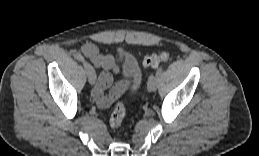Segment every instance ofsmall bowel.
<instances>
[{
	"label": "small bowel",
	"mask_w": 259,
	"mask_h": 156,
	"mask_svg": "<svg viewBox=\"0 0 259 156\" xmlns=\"http://www.w3.org/2000/svg\"><path fill=\"white\" fill-rule=\"evenodd\" d=\"M82 54L88 58L96 67H101L104 71L100 74L97 84L93 90V98L101 108H106L111 105L113 100L117 98L130 84V81L124 80L117 83L111 90L108 96L104 95V90L112 83V74L120 72V66L111 55L101 54L96 45L87 42L80 47ZM121 59L123 51L119 50Z\"/></svg>",
	"instance_id": "1"
}]
</instances>
